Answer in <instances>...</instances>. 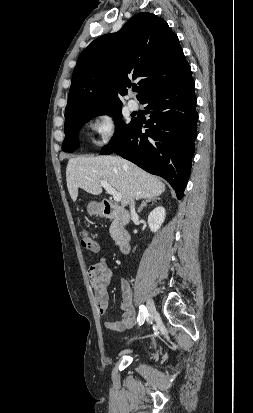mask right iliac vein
I'll return each instance as SVG.
<instances>
[{
  "instance_id": "63e3f726",
  "label": "right iliac vein",
  "mask_w": 253,
  "mask_h": 413,
  "mask_svg": "<svg viewBox=\"0 0 253 413\" xmlns=\"http://www.w3.org/2000/svg\"><path fill=\"white\" fill-rule=\"evenodd\" d=\"M147 310L149 314L147 321L150 322L154 318V315L156 313V307L152 299L147 300Z\"/></svg>"
}]
</instances>
